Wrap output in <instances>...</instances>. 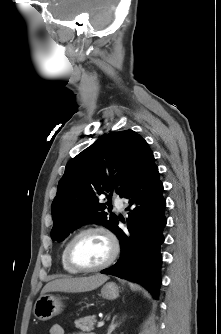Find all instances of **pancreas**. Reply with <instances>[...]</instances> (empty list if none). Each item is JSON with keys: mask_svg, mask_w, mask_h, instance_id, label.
Listing matches in <instances>:
<instances>
[{"mask_svg": "<svg viewBox=\"0 0 221 334\" xmlns=\"http://www.w3.org/2000/svg\"><path fill=\"white\" fill-rule=\"evenodd\" d=\"M95 323H96L95 316H86V317L77 319L74 322L76 328L82 331H88V332L94 329ZM87 334H94V333H87Z\"/></svg>", "mask_w": 221, "mask_h": 334, "instance_id": "1", "label": "pancreas"}]
</instances>
